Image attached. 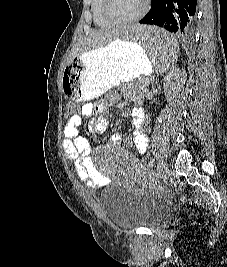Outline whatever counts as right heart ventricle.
<instances>
[{
  "instance_id": "e07e8e85",
  "label": "right heart ventricle",
  "mask_w": 227,
  "mask_h": 267,
  "mask_svg": "<svg viewBox=\"0 0 227 267\" xmlns=\"http://www.w3.org/2000/svg\"><path fill=\"white\" fill-rule=\"evenodd\" d=\"M102 0H92V15L94 21L99 26H110L113 23L109 21L102 13L101 9Z\"/></svg>"
}]
</instances>
